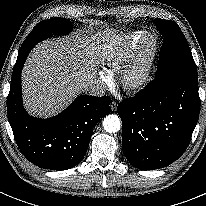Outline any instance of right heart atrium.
Here are the masks:
<instances>
[{
	"label": "right heart atrium",
	"mask_w": 206,
	"mask_h": 206,
	"mask_svg": "<svg viewBox=\"0 0 206 206\" xmlns=\"http://www.w3.org/2000/svg\"><path fill=\"white\" fill-rule=\"evenodd\" d=\"M102 79L106 82V83H109L111 81V78L108 77L107 75H103L102 76Z\"/></svg>",
	"instance_id": "d8ad5b80"
}]
</instances>
